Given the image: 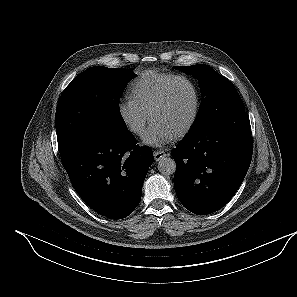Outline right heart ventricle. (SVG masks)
Listing matches in <instances>:
<instances>
[{"instance_id":"1","label":"right heart ventricle","mask_w":297,"mask_h":297,"mask_svg":"<svg viewBox=\"0 0 297 297\" xmlns=\"http://www.w3.org/2000/svg\"><path fill=\"white\" fill-rule=\"evenodd\" d=\"M175 76L154 70L146 71L133 82L131 98L149 114L164 86Z\"/></svg>"}]
</instances>
